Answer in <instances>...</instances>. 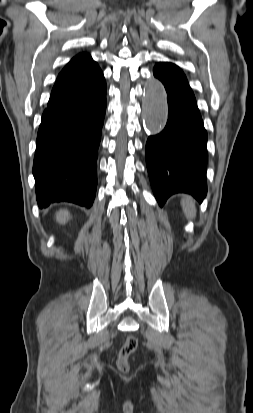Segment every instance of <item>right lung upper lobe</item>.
Masks as SVG:
<instances>
[{"label":"right lung upper lobe","instance_id":"obj_1","mask_svg":"<svg viewBox=\"0 0 253 413\" xmlns=\"http://www.w3.org/2000/svg\"><path fill=\"white\" fill-rule=\"evenodd\" d=\"M95 61L86 53L75 56L60 72L51 92L48 107L66 103L93 92L104 81Z\"/></svg>","mask_w":253,"mask_h":413}]
</instances>
